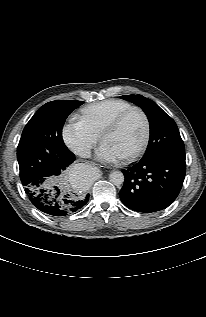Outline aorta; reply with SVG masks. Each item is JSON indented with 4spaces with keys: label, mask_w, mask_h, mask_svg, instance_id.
I'll list each match as a JSON object with an SVG mask.
<instances>
[{
    "label": "aorta",
    "mask_w": 206,
    "mask_h": 317,
    "mask_svg": "<svg viewBox=\"0 0 206 317\" xmlns=\"http://www.w3.org/2000/svg\"><path fill=\"white\" fill-rule=\"evenodd\" d=\"M89 169L88 168H85L84 169V173L85 172H88ZM109 179H110V182L114 185H121L123 182H124V175L122 172L120 171H114L112 173H110L109 175Z\"/></svg>",
    "instance_id": "762f6f07"
}]
</instances>
